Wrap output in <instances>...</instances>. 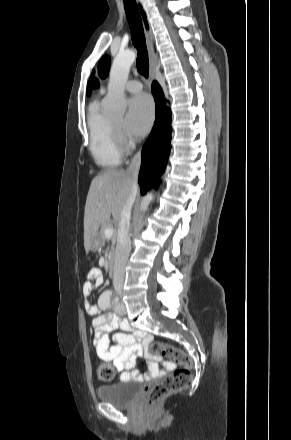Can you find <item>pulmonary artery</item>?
Segmentation results:
<instances>
[{
  "label": "pulmonary artery",
  "instance_id": "e3ab8cb5",
  "mask_svg": "<svg viewBox=\"0 0 291 440\" xmlns=\"http://www.w3.org/2000/svg\"><path fill=\"white\" fill-rule=\"evenodd\" d=\"M125 88L129 92L136 93L141 91L142 83L137 80H130L126 83ZM101 92L103 93V89L101 90Z\"/></svg>",
  "mask_w": 291,
  "mask_h": 440
}]
</instances>
